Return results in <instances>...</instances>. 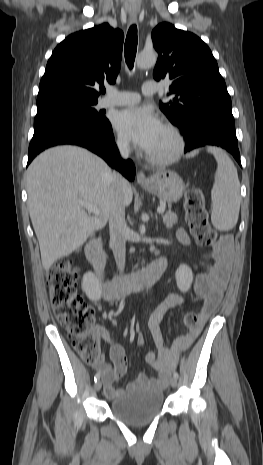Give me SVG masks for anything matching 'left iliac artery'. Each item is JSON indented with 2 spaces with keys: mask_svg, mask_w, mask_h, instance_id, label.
I'll use <instances>...</instances> for the list:
<instances>
[{
  "mask_svg": "<svg viewBox=\"0 0 263 465\" xmlns=\"http://www.w3.org/2000/svg\"><path fill=\"white\" fill-rule=\"evenodd\" d=\"M173 376H174L176 379H178V377H179V375H178L177 372H174V373H173Z\"/></svg>",
  "mask_w": 263,
  "mask_h": 465,
  "instance_id": "left-iliac-artery-1",
  "label": "left iliac artery"
}]
</instances>
